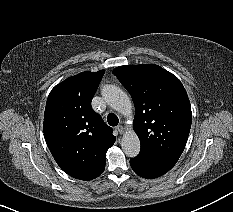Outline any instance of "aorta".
I'll list each match as a JSON object with an SVG mask.
<instances>
[{
  "label": "aorta",
  "instance_id": "aorta-1",
  "mask_svg": "<svg viewBox=\"0 0 233 212\" xmlns=\"http://www.w3.org/2000/svg\"><path fill=\"white\" fill-rule=\"evenodd\" d=\"M102 97L114 110L124 114H132V103L128 95L115 85H106L102 89ZM121 147L128 157H135L140 152V140L133 130L127 131L121 140Z\"/></svg>",
  "mask_w": 233,
  "mask_h": 212
}]
</instances>
